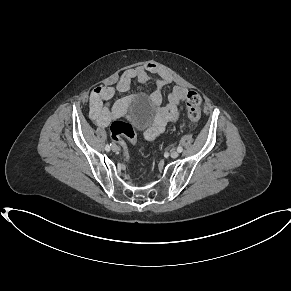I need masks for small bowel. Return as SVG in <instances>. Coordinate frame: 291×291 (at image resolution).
<instances>
[{
	"label": "small bowel",
	"instance_id": "c3829d8e",
	"mask_svg": "<svg viewBox=\"0 0 291 291\" xmlns=\"http://www.w3.org/2000/svg\"><path fill=\"white\" fill-rule=\"evenodd\" d=\"M155 76L157 90L151 95L150 101L154 106L151 125L144 131L146 140H154L163 133L168 123L175 121L183 109L188 91L184 87L176 86L168 95V101L162 105V89L172 83L171 75L159 68L154 63H147L142 66L126 70L120 77L116 87L98 86L90 95V116L99 127H107L111 122L119 118L130 119L127 109L135 102V97L123 98L110 104L116 91L126 92L129 90L133 80L140 83H147Z\"/></svg>",
	"mask_w": 291,
	"mask_h": 291
}]
</instances>
